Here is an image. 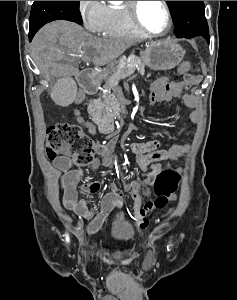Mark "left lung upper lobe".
<instances>
[{
  "instance_id": "left-lung-upper-lobe-1",
  "label": "left lung upper lobe",
  "mask_w": 237,
  "mask_h": 300,
  "mask_svg": "<svg viewBox=\"0 0 237 300\" xmlns=\"http://www.w3.org/2000/svg\"><path fill=\"white\" fill-rule=\"evenodd\" d=\"M178 38L202 36L209 43V29L203 1H167Z\"/></svg>"
}]
</instances>
